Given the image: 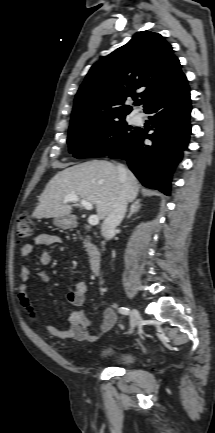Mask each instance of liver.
Instances as JSON below:
<instances>
[{"instance_id": "liver-1", "label": "liver", "mask_w": 215, "mask_h": 433, "mask_svg": "<svg viewBox=\"0 0 215 433\" xmlns=\"http://www.w3.org/2000/svg\"><path fill=\"white\" fill-rule=\"evenodd\" d=\"M121 189L128 201H133L139 191L134 174L125 169L120 178L118 166L106 160H91L68 167L58 172L46 185L39 197L33 217L55 218L70 216L71 205L63 202L64 197L75 194L95 205L97 215L105 219Z\"/></svg>"}]
</instances>
